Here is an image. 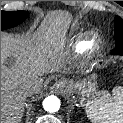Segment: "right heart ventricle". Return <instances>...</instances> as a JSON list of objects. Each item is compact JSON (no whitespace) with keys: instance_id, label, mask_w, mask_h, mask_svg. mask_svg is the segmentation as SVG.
<instances>
[{"instance_id":"obj_1","label":"right heart ventricle","mask_w":123,"mask_h":123,"mask_svg":"<svg viewBox=\"0 0 123 123\" xmlns=\"http://www.w3.org/2000/svg\"><path fill=\"white\" fill-rule=\"evenodd\" d=\"M77 48H78V50H79V51H81V52H82V45H81V42H80V43H78Z\"/></svg>"}]
</instances>
